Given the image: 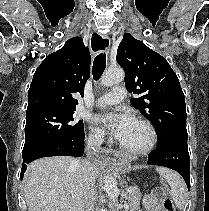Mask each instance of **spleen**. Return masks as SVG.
Masks as SVG:
<instances>
[{
    "instance_id": "3e777b00",
    "label": "spleen",
    "mask_w": 209,
    "mask_h": 211,
    "mask_svg": "<svg viewBox=\"0 0 209 211\" xmlns=\"http://www.w3.org/2000/svg\"><path fill=\"white\" fill-rule=\"evenodd\" d=\"M156 170L168 182L171 188V197L177 208L183 209L187 201V188L183 179L168 168L157 167Z\"/></svg>"
}]
</instances>
